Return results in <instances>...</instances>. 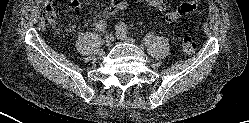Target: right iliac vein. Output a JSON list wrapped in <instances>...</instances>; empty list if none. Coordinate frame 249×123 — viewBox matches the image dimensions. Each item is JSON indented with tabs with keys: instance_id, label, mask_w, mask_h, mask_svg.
Listing matches in <instances>:
<instances>
[{
	"instance_id": "63e3f726",
	"label": "right iliac vein",
	"mask_w": 249,
	"mask_h": 123,
	"mask_svg": "<svg viewBox=\"0 0 249 123\" xmlns=\"http://www.w3.org/2000/svg\"><path fill=\"white\" fill-rule=\"evenodd\" d=\"M114 40V37L112 34H106L104 38V43L106 46H109Z\"/></svg>"
}]
</instances>
